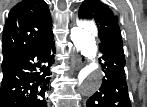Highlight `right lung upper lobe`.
I'll use <instances>...</instances> for the list:
<instances>
[{"label":"right lung upper lobe","mask_w":147,"mask_h":107,"mask_svg":"<svg viewBox=\"0 0 147 107\" xmlns=\"http://www.w3.org/2000/svg\"><path fill=\"white\" fill-rule=\"evenodd\" d=\"M52 35V21L45 1L22 0L11 9L4 26L2 65L21 57Z\"/></svg>","instance_id":"right-lung-upper-lobe-1"}]
</instances>
